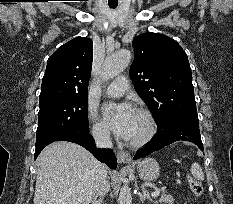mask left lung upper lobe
Returning a JSON list of instances; mask_svg holds the SVG:
<instances>
[{
    "label": "left lung upper lobe",
    "mask_w": 233,
    "mask_h": 204,
    "mask_svg": "<svg viewBox=\"0 0 233 204\" xmlns=\"http://www.w3.org/2000/svg\"><path fill=\"white\" fill-rule=\"evenodd\" d=\"M134 61L129 74L156 123L198 120L191 68L186 53L173 39L145 33L133 39Z\"/></svg>",
    "instance_id": "obj_1"
}]
</instances>
